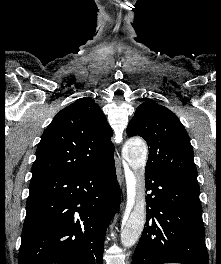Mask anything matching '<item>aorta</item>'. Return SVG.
<instances>
[{"instance_id":"1","label":"aorta","mask_w":221,"mask_h":264,"mask_svg":"<svg viewBox=\"0 0 221 264\" xmlns=\"http://www.w3.org/2000/svg\"><path fill=\"white\" fill-rule=\"evenodd\" d=\"M123 158L132 170L128 182V193L133 199V207L121 232V243L130 248L139 240L146 219L144 169L147 160L146 143L140 139H129L123 147Z\"/></svg>"}]
</instances>
